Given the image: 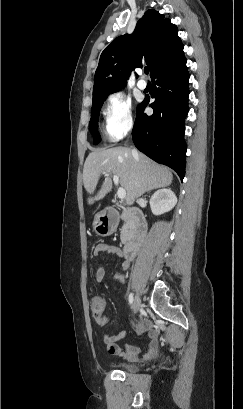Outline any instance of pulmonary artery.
<instances>
[{
  "label": "pulmonary artery",
  "instance_id": "1",
  "mask_svg": "<svg viewBox=\"0 0 243 409\" xmlns=\"http://www.w3.org/2000/svg\"><path fill=\"white\" fill-rule=\"evenodd\" d=\"M137 86H138L139 89L144 90V89L147 88V82L143 78H141L138 81Z\"/></svg>",
  "mask_w": 243,
  "mask_h": 409
}]
</instances>
